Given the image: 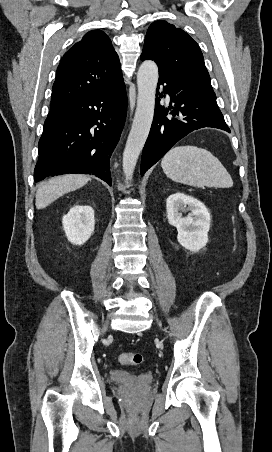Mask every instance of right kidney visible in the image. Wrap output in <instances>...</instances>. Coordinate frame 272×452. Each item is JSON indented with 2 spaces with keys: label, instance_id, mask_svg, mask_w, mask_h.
<instances>
[{
  "label": "right kidney",
  "instance_id": "1",
  "mask_svg": "<svg viewBox=\"0 0 272 452\" xmlns=\"http://www.w3.org/2000/svg\"><path fill=\"white\" fill-rule=\"evenodd\" d=\"M62 224L67 239L74 245H82L94 232V210L88 205H76L63 216Z\"/></svg>",
  "mask_w": 272,
  "mask_h": 452
}]
</instances>
